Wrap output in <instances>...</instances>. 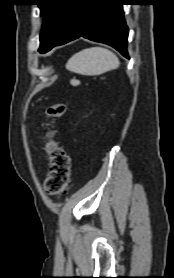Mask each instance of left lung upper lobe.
Returning <instances> with one entry per match:
<instances>
[{
    "label": "left lung upper lobe",
    "mask_w": 174,
    "mask_h": 278,
    "mask_svg": "<svg viewBox=\"0 0 174 278\" xmlns=\"http://www.w3.org/2000/svg\"><path fill=\"white\" fill-rule=\"evenodd\" d=\"M77 0H40L44 21L40 33V53L49 51L61 38Z\"/></svg>",
    "instance_id": "5c2ea615"
}]
</instances>
